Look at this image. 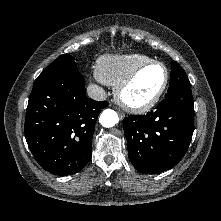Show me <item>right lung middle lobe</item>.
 <instances>
[{"label":"right lung middle lobe","mask_w":221,"mask_h":221,"mask_svg":"<svg viewBox=\"0 0 221 221\" xmlns=\"http://www.w3.org/2000/svg\"><path fill=\"white\" fill-rule=\"evenodd\" d=\"M75 58L71 55H61L52 62L35 80L31 94L36 93L48 86L51 82L60 78H77L84 81L79 73Z\"/></svg>","instance_id":"1"}]
</instances>
